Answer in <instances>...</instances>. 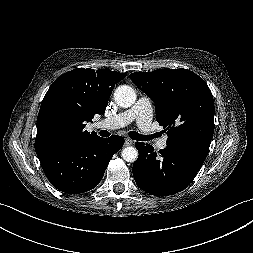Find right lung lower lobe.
<instances>
[{
	"instance_id": "right-lung-lower-lobe-1",
	"label": "right lung lower lobe",
	"mask_w": 253,
	"mask_h": 253,
	"mask_svg": "<svg viewBox=\"0 0 253 253\" xmlns=\"http://www.w3.org/2000/svg\"><path fill=\"white\" fill-rule=\"evenodd\" d=\"M123 144L121 136L97 137L80 144L60 145L38 156L55 188L68 194H78L98 185L112 156Z\"/></svg>"
}]
</instances>
